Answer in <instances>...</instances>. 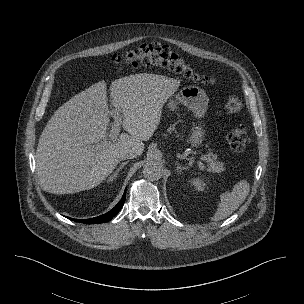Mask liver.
<instances>
[{
	"instance_id": "obj_1",
	"label": "liver",
	"mask_w": 304,
	"mask_h": 304,
	"mask_svg": "<svg viewBox=\"0 0 304 304\" xmlns=\"http://www.w3.org/2000/svg\"><path fill=\"white\" fill-rule=\"evenodd\" d=\"M179 86V80L150 73L113 81L111 105L128 132L114 141L107 139L111 113L105 81L73 96L55 111L40 135L36 171L41 188L59 195L88 190L112 173L122 153L135 150L141 155L143 141L154 134L164 104Z\"/></svg>"
}]
</instances>
